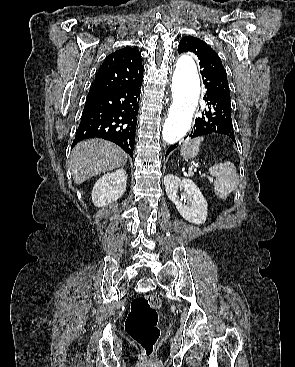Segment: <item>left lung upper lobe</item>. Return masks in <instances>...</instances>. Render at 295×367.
Masks as SVG:
<instances>
[{
  "instance_id": "obj_1",
  "label": "left lung upper lobe",
  "mask_w": 295,
  "mask_h": 367,
  "mask_svg": "<svg viewBox=\"0 0 295 367\" xmlns=\"http://www.w3.org/2000/svg\"><path fill=\"white\" fill-rule=\"evenodd\" d=\"M178 52H192L200 60L201 75L205 88L217 92L230 94L227 74L220 57L204 41L185 36L181 39Z\"/></svg>"
}]
</instances>
